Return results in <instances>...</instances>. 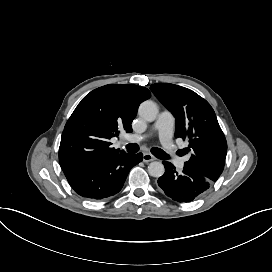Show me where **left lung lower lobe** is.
I'll return each mask as SVG.
<instances>
[{
    "label": "left lung lower lobe",
    "mask_w": 272,
    "mask_h": 272,
    "mask_svg": "<svg viewBox=\"0 0 272 272\" xmlns=\"http://www.w3.org/2000/svg\"><path fill=\"white\" fill-rule=\"evenodd\" d=\"M165 173L158 179L159 187L172 200L188 203L206 193L213 182L200 173L184 168L178 173L170 162H163Z\"/></svg>",
    "instance_id": "0a47b994"
}]
</instances>
